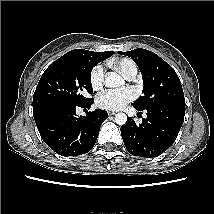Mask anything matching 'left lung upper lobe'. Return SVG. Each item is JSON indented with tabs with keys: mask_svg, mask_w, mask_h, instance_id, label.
Returning a JSON list of instances; mask_svg holds the SVG:
<instances>
[{
	"mask_svg": "<svg viewBox=\"0 0 214 214\" xmlns=\"http://www.w3.org/2000/svg\"><path fill=\"white\" fill-rule=\"evenodd\" d=\"M118 53L131 57L142 74L144 95L132 103L136 109L145 110L163 104L185 106L183 89L175 70L157 54L142 48Z\"/></svg>",
	"mask_w": 214,
	"mask_h": 214,
	"instance_id": "left-lung-upper-lobe-1",
	"label": "left lung upper lobe"
}]
</instances>
